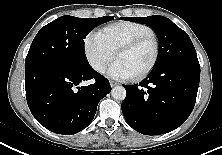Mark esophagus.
<instances>
[{
  "instance_id": "obj_1",
  "label": "esophagus",
  "mask_w": 222,
  "mask_h": 155,
  "mask_svg": "<svg viewBox=\"0 0 222 155\" xmlns=\"http://www.w3.org/2000/svg\"><path fill=\"white\" fill-rule=\"evenodd\" d=\"M110 85H111V87H114V86H117V85H118V83H117V82H115V81H110Z\"/></svg>"
}]
</instances>
